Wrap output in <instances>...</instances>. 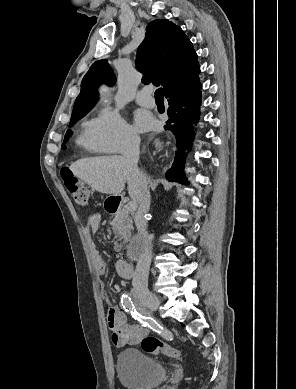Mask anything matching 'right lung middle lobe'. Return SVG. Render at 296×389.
<instances>
[{
	"label": "right lung middle lobe",
	"instance_id": "right-lung-middle-lobe-1",
	"mask_svg": "<svg viewBox=\"0 0 296 389\" xmlns=\"http://www.w3.org/2000/svg\"><path fill=\"white\" fill-rule=\"evenodd\" d=\"M91 108L92 107L82 108L80 110H77L76 112H73L72 116H71L70 125H73L78 119L85 116L90 111ZM71 135H72V132L70 130H68L66 132L64 141L66 142Z\"/></svg>",
	"mask_w": 296,
	"mask_h": 389
}]
</instances>
